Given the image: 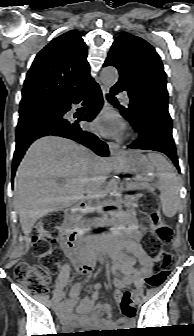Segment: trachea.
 Masks as SVG:
<instances>
[{"label": "trachea", "mask_w": 194, "mask_h": 336, "mask_svg": "<svg viewBox=\"0 0 194 336\" xmlns=\"http://www.w3.org/2000/svg\"><path fill=\"white\" fill-rule=\"evenodd\" d=\"M107 99L108 100H115L116 98L114 96H112V95H107Z\"/></svg>", "instance_id": "3493384b"}]
</instances>
